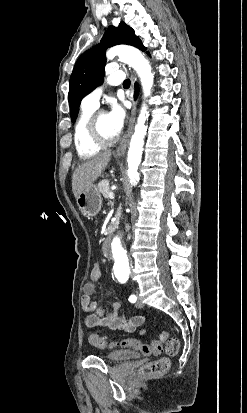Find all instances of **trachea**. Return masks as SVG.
<instances>
[{"mask_svg": "<svg viewBox=\"0 0 247 413\" xmlns=\"http://www.w3.org/2000/svg\"><path fill=\"white\" fill-rule=\"evenodd\" d=\"M123 86H124V88H129V86H130V80H129V79L124 80Z\"/></svg>", "mask_w": 247, "mask_h": 413, "instance_id": "1", "label": "trachea"}]
</instances>
